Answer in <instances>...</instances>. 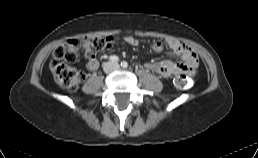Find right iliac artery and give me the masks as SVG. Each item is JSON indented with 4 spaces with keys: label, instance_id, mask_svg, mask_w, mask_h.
I'll return each instance as SVG.
<instances>
[{
    "label": "right iliac artery",
    "instance_id": "1",
    "mask_svg": "<svg viewBox=\"0 0 258 158\" xmlns=\"http://www.w3.org/2000/svg\"><path fill=\"white\" fill-rule=\"evenodd\" d=\"M109 60L112 61V62H118L119 58L115 55H112V56H110Z\"/></svg>",
    "mask_w": 258,
    "mask_h": 158
}]
</instances>
